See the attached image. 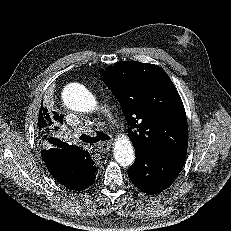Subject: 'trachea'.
Returning a JSON list of instances; mask_svg holds the SVG:
<instances>
[{
    "label": "trachea",
    "instance_id": "1",
    "mask_svg": "<svg viewBox=\"0 0 231 231\" xmlns=\"http://www.w3.org/2000/svg\"><path fill=\"white\" fill-rule=\"evenodd\" d=\"M110 137L104 133V132H101V131H97L96 132V136H88L86 134H82L80 136V140L84 143H96V142H99V141H106V140H109Z\"/></svg>",
    "mask_w": 231,
    "mask_h": 231
}]
</instances>
